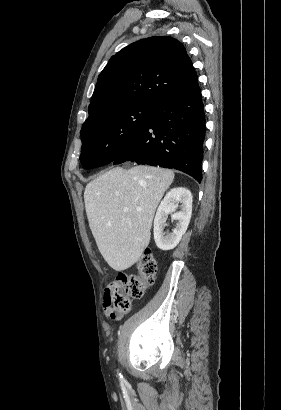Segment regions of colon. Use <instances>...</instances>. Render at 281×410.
Wrapping results in <instances>:
<instances>
[{
  "instance_id": "colon-1",
  "label": "colon",
  "mask_w": 281,
  "mask_h": 410,
  "mask_svg": "<svg viewBox=\"0 0 281 410\" xmlns=\"http://www.w3.org/2000/svg\"><path fill=\"white\" fill-rule=\"evenodd\" d=\"M139 275L119 273L108 286V293L113 306L109 317L117 319L131 309L133 299L143 297L145 290L155 282L156 260L149 248L145 249L138 265Z\"/></svg>"
}]
</instances>
